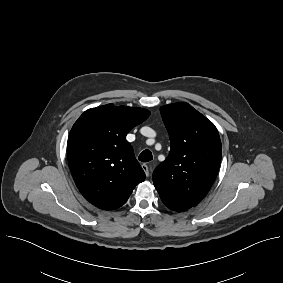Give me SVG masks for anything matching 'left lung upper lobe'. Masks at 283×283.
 Listing matches in <instances>:
<instances>
[{
  "label": "left lung upper lobe",
  "mask_w": 283,
  "mask_h": 283,
  "mask_svg": "<svg viewBox=\"0 0 283 283\" xmlns=\"http://www.w3.org/2000/svg\"><path fill=\"white\" fill-rule=\"evenodd\" d=\"M170 137V153L153 173L154 186L171 210L197 205L219 170L222 145L214 124L185 102L160 108Z\"/></svg>",
  "instance_id": "obj_1"
}]
</instances>
